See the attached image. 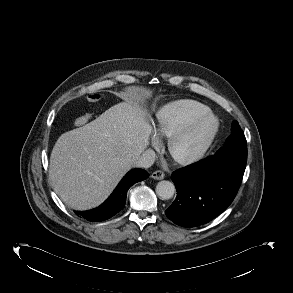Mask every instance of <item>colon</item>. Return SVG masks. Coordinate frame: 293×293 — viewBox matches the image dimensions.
I'll use <instances>...</instances> for the list:
<instances>
[{
	"mask_svg": "<svg viewBox=\"0 0 293 293\" xmlns=\"http://www.w3.org/2000/svg\"><path fill=\"white\" fill-rule=\"evenodd\" d=\"M86 99L88 102L96 103L100 101L101 96L98 93H90L86 96ZM91 118H92L91 114H84L82 116H79L74 120V125L75 126L85 125Z\"/></svg>",
	"mask_w": 293,
	"mask_h": 293,
	"instance_id": "1",
	"label": "colon"
}]
</instances>
